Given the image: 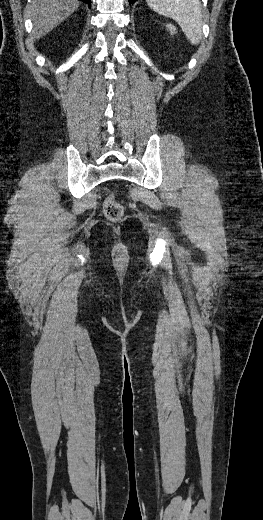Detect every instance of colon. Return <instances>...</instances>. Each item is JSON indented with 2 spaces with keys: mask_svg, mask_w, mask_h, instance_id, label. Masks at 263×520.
<instances>
[{
  "mask_svg": "<svg viewBox=\"0 0 263 520\" xmlns=\"http://www.w3.org/2000/svg\"><path fill=\"white\" fill-rule=\"evenodd\" d=\"M103 213L111 221H118L123 217L124 209L114 196L106 198L103 204Z\"/></svg>",
  "mask_w": 263,
  "mask_h": 520,
  "instance_id": "obj_1",
  "label": "colon"
}]
</instances>
